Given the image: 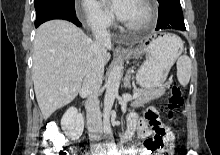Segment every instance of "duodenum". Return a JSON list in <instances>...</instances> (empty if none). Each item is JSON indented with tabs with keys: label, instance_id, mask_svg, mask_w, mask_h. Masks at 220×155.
I'll return each mask as SVG.
<instances>
[{
	"label": "duodenum",
	"instance_id": "obj_1",
	"mask_svg": "<svg viewBox=\"0 0 220 155\" xmlns=\"http://www.w3.org/2000/svg\"><path fill=\"white\" fill-rule=\"evenodd\" d=\"M127 132H128V128L125 130V132H123V136H124V137H126Z\"/></svg>",
	"mask_w": 220,
	"mask_h": 155
}]
</instances>
